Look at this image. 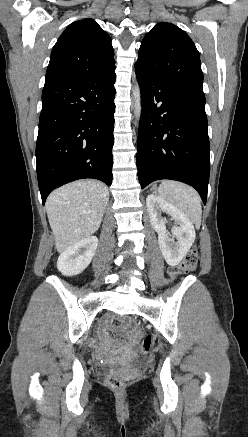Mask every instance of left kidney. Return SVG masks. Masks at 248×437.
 Instances as JSON below:
<instances>
[{"label":"left kidney","mask_w":248,"mask_h":437,"mask_svg":"<svg viewBox=\"0 0 248 437\" xmlns=\"http://www.w3.org/2000/svg\"><path fill=\"white\" fill-rule=\"evenodd\" d=\"M146 205L152 227L158 233V244L164 259L171 266L178 265L195 240L196 234L191 220L178 208L155 194L147 196ZM162 212L169 214L176 224L172 228V237L166 229V220L162 217Z\"/></svg>","instance_id":"5707ae66"}]
</instances>
